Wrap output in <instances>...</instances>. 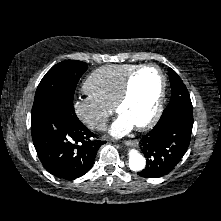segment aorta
<instances>
[{"mask_svg": "<svg viewBox=\"0 0 221 221\" xmlns=\"http://www.w3.org/2000/svg\"><path fill=\"white\" fill-rule=\"evenodd\" d=\"M129 167L132 171H141L145 167V158L135 149L129 151Z\"/></svg>", "mask_w": 221, "mask_h": 221, "instance_id": "aorta-1", "label": "aorta"}]
</instances>
